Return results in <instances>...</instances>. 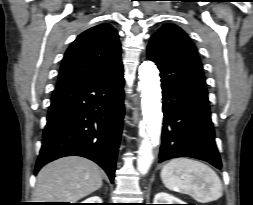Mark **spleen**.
<instances>
[{
    "instance_id": "spleen-1",
    "label": "spleen",
    "mask_w": 253,
    "mask_h": 205,
    "mask_svg": "<svg viewBox=\"0 0 253 205\" xmlns=\"http://www.w3.org/2000/svg\"><path fill=\"white\" fill-rule=\"evenodd\" d=\"M161 179L166 188L188 194L200 203L215 201L223 194L222 183L216 172L193 159L170 160L161 170Z\"/></svg>"
}]
</instances>
